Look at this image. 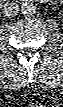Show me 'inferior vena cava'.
I'll return each instance as SVG.
<instances>
[{
    "label": "inferior vena cava",
    "mask_w": 63,
    "mask_h": 107,
    "mask_svg": "<svg viewBox=\"0 0 63 107\" xmlns=\"http://www.w3.org/2000/svg\"><path fill=\"white\" fill-rule=\"evenodd\" d=\"M19 6L13 2L6 3L3 7L4 16L11 18L18 14Z\"/></svg>",
    "instance_id": "inferior-vena-cava-1"
}]
</instances>
